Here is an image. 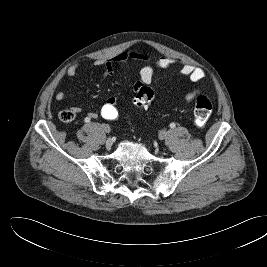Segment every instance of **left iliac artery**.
<instances>
[{"mask_svg": "<svg viewBox=\"0 0 267 267\" xmlns=\"http://www.w3.org/2000/svg\"><path fill=\"white\" fill-rule=\"evenodd\" d=\"M170 127H171V128H174V127H175V124H174V123H171V124H170Z\"/></svg>", "mask_w": 267, "mask_h": 267, "instance_id": "left-iliac-artery-1", "label": "left iliac artery"}]
</instances>
